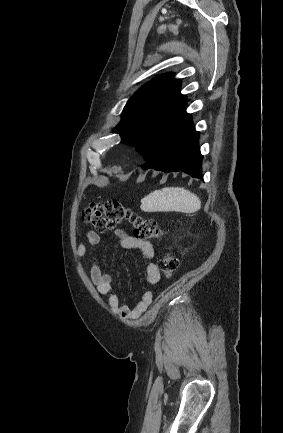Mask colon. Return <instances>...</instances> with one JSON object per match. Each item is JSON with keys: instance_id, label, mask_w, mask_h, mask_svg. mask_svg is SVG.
Listing matches in <instances>:
<instances>
[{"instance_id": "1", "label": "colon", "mask_w": 283, "mask_h": 433, "mask_svg": "<svg viewBox=\"0 0 283 433\" xmlns=\"http://www.w3.org/2000/svg\"><path fill=\"white\" fill-rule=\"evenodd\" d=\"M82 221L97 231L104 232L127 222L133 235L139 240L160 239L166 231L151 218L144 217L118 201L93 202L82 212ZM179 265L173 253H166L159 261V270L165 277H171Z\"/></svg>"}]
</instances>
